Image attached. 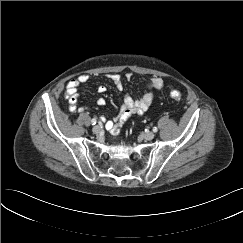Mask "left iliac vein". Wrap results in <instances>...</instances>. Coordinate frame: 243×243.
Listing matches in <instances>:
<instances>
[{
  "mask_svg": "<svg viewBox=\"0 0 243 243\" xmlns=\"http://www.w3.org/2000/svg\"><path fill=\"white\" fill-rule=\"evenodd\" d=\"M155 134L151 131H148V132H145L143 134V137L146 139V140H152L154 138Z\"/></svg>",
  "mask_w": 243,
  "mask_h": 243,
  "instance_id": "obj_1",
  "label": "left iliac vein"
}]
</instances>
